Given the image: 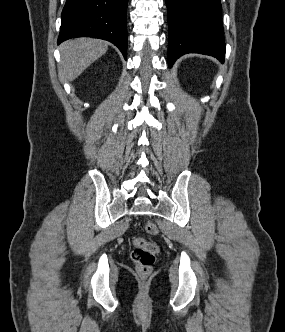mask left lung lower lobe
<instances>
[{
  "instance_id": "1",
  "label": "left lung lower lobe",
  "mask_w": 285,
  "mask_h": 332,
  "mask_svg": "<svg viewBox=\"0 0 285 332\" xmlns=\"http://www.w3.org/2000/svg\"><path fill=\"white\" fill-rule=\"evenodd\" d=\"M169 23V67L186 53L224 62L225 44L220 0H166Z\"/></svg>"
}]
</instances>
